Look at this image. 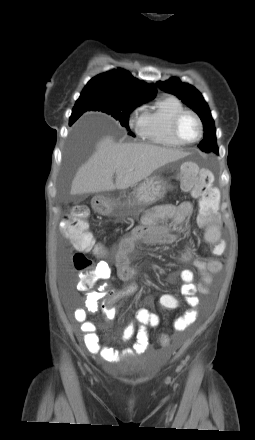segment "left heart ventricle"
Instances as JSON below:
<instances>
[{
	"label": "left heart ventricle",
	"instance_id": "b2bd125f",
	"mask_svg": "<svg viewBox=\"0 0 255 440\" xmlns=\"http://www.w3.org/2000/svg\"><path fill=\"white\" fill-rule=\"evenodd\" d=\"M179 133L186 141H192L198 136V125L195 119L186 115L180 122Z\"/></svg>",
	"mask_w": 255,
	"mask_h": 440
}]
</instances>
